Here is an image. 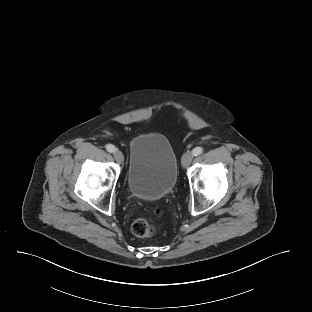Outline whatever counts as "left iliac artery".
Here are the masks:
<instances>
[{"instance_id":"44dca946","label":"left iliac artery","mask_w":312,"mask_h":312,"mask_svg":"<svg viewBox=\"0 0 312 312\" xmlns=\"http://www.w3.org/2000/svg\"><path fill=\"white\" fill-rule=\"evenodd\" d=\"M192 153H193V156L201 155L203 153V148L202 147H196L193 149Z\"/></svg>"}]
</instances>
